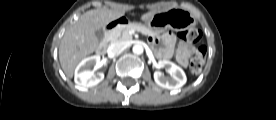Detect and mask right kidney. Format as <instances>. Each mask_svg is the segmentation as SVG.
Listing matches in <instances>:
<instances>
[{
	"label": "right kidney",
	"mask_w": 276,
	"mask_h": 120,
	"mask_svg": "<svg viewBox=\"0 0 276 120\" xmlns=\"http://www.w3.org/2000/svg\"><path fill=\"white\" fill-rule=\"evenodd\" d=\"M100 62V56L94 55L83 59L75 69V83L85 89L96 86L104 79V74L101 72L94 73L90 69Z\"/></svg>",
	"instance_id": "right-kidney-1"
}]
</instances>
